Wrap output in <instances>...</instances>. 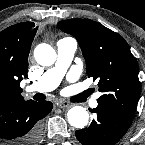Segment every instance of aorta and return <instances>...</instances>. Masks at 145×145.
Segmentation results:
<instances>
[{
  "instance_id": "obj_1",
  "label": "aorta",
  "mask_w": 145,
  "mask_h": 145,
  "mask_svg": "<svg viewBox=\"0 0 145 145\" xmlns=\"http://www.w3.org/2000/svg\"><path fill=\"white\" fill-rule=\"evenodd\" d=\"M34 57L38 64L51 66L56 61L55 50L46 43H41L34 50ZM68 122L75 128H83L88 124L89 114L82 106H74L67 112Z\"/></svg>"
}]
</instances>
